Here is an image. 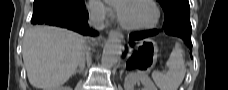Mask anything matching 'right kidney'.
<instances>
[{"instance_id": "right-kidney-1", "label": "right kidney", "mask_w": 228, "mask_h": 90, "mask_svg": "<svg viewBox=\"0 0 228 90\" xmlns=\"http://www.w3.org/2000/svg\"><path fill=\"white\" fill-rule=\"evenodd\" d=\"M53 90H71V88L65 86V87L55 88Z\"/></svg>"}]
</instances>
